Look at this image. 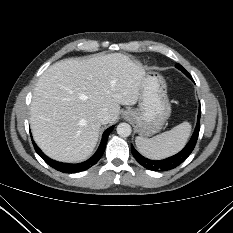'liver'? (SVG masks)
<instances>
[{
  "mask_svg": "<svg viewBox=\"0 0 233 233\" xmlns=\"http://www.w3.org/2000/svg\"><path fill=\"white\" fill-rule=\"evenodd\" d=\"M141 64L113 53L89 59H64L39 78L30 108L35 142L50 158L81 162L93 152L106 110L114 123L120 105H135L145 76Z\"/></svg>",
  "mask_w": 233,
  "mask_h": 233,
  "instance_id": "1",
  "label": "liver"
}]
</instances>
